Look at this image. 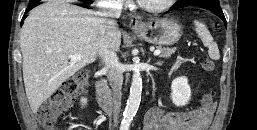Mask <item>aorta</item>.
<instances>
[{
	"instance_id": "1",
	"label": "aorta",
	"mask_w": 257,
	"mask_h": 130,
	"mask_svg": "<svg viewBox=\"0 0 257 130\" xmlns=\"http://www.w3.org/2000/svg\"><path fill=\"white\" fill-rule=\"evenodd\" d=\"M142 93V78L139 71H135L132 77V84L130 87V93L127 100V104L123 113V119L121 122V130H128L131 122L136 115Z\"/></svg>"
}]
</instances>
